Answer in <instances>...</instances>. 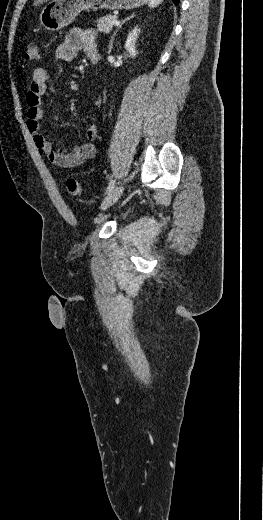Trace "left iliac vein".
<instances>
[{
	"mask_svg": "<svg viewBox=\"0 0 263 520\" xmlns=\"http://www.w3.org/2000/svg\"><path fill=\"white\" fill-rule=\"evenodd\" d=\"M123 190L124 186L120 184L114 187L110 192H108V194L101 203V209L106 210L107 208L112 206L120 198V196L123 193Z\"/></svg>",
	"mask_w": 263,
	"mask_h": 520,
	"instance_id": "1",
	"label": "left iliac vein"
}]
</instances>
